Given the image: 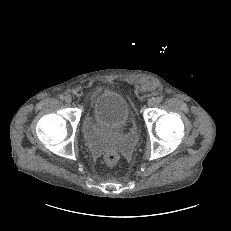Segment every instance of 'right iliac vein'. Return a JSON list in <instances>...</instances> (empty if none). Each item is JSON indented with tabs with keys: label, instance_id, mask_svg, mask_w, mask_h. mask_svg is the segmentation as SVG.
Masks as SVG:
<instances>
[{
	"label": "right iliac vein",
	"instance_id": "63e3f726",
	"mask_svg": "<svg viewBox=\"0 0 231 231\" xmlns=\"http://www.w3.org/2000/svg\"><path fill=\"white\" fill-rule=\"evenodd\" d=\"M65 102L66 103H71L72 102V97L70 95L65 96Z\"/></svg>",
	"mask_w": 231,
	"mask_h": 231
}]
</instances>
